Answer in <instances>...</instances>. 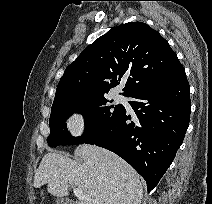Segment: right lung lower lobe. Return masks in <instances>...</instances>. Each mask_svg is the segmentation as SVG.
Instances as JSON below:
<instances>
[{"mask_svg":"<svg viewBox=\"0 0 212 204\" xmlns=\"http://www.w3.org/2000/svg\"><path fill=\"white\" fill-rule=\"evenodd\" d=\"M127 97L134 115L124 110L84 143L106 148L127 161L151 191L175 158L189 125L190 88L185 71L164 84Z\"/></svg>","mask_w":212,"mask_h":204,"instance_id":"1","label":"right lung lower lobe"}]
</instances>
